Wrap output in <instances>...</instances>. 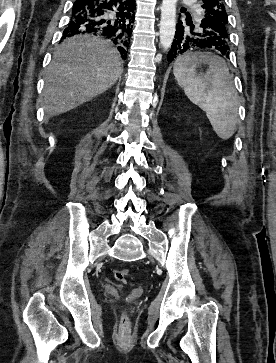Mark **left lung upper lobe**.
Instances as JSON below:
<instances>
[{"instance_id":"5c2ea615","label":"left lung upper lobe","mask_w":276,"mask_h":363,"mask_svg":"<svg viewBox=\"0 0 276 363\" xmlns=\"http://www.w3.org/2000/svg\"><path fill=\"white\" fill-rule=\"evenodd\" d=\"M204 9L203 18L209 19L216 25V31L220 37L226 40L229 45L228 36V14L225 9L223 0H201Z\"/></svg>"}]
</instances>
